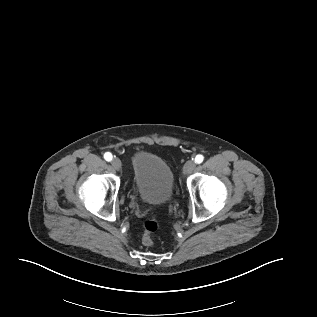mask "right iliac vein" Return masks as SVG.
<instances>
[{"label":"right iliac vein","mask_w":317,"mask_h":317,"mask_svg":"<svg viewBox=\"0 0 317 317\" xmlns=\"http://www.w3.org/2000/svg\"><path fill=\"white\" fill-rule=\"evenodd\" d=\"M111 164L115 170L119 171L121 169L122 163L118 158H114Z\"/></svg>","instance_id":"63e3f726"}]
</instances>
